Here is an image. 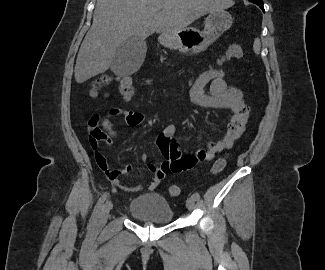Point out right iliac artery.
Here are the masks:
<instances>
[{
  "label": "right iliac artery",
  "instance_id": "obj_1",
  "mask_svg": "<svg viewBox=\"0 0 325 270\" xmlns=\"http://www.w3.org/2000/svg\"><path fill=\"white\" fill-rule=\"evenodd\" d=\"M107 196H108V193H104V194L99 198V200H98V202H97V204H96V206H95V208H94V211H93V213H92V216H91V218H90V224H94V223L96 222L97 217H98V214H99V212H100V210H101V208H102V206H103V204H104V202H105Z\"/></svg>",
  "mask_w": 325,
  "mask_h": 270
}]
</instances>
